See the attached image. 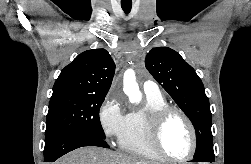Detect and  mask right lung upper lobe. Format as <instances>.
<instances>
[{"mask_svg":"<svg viewBox=\"0 0 251 164\" xmlns=\"http://www.w3.org/2000/svg\"><path fill=\"white\" fill-rule=\"evenodd\" d=\"M114 72L115 64L105 49L87 50L61 71L53 93L106 95Z\"/></svg>","mask_w":251,"mask_h":164,"instance_id":"cb5924a9","label":"right lung upper lobe"}]
</instances>
